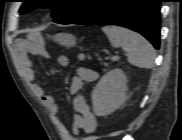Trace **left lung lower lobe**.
Segmentation results:
<instances>
[{"label": "left lung lower lobe", "instance_id": "0a47b994", "mask_svg": "<svg viewBox=\"0 0 182 140\" xmlns=\"http://www.w3.org/2000/svg\"><path fill=\"white\" fill-rule=\"evenodd\" d=\"M161 2L162 0H101L89 13L71 24L123 26L139 32L159 49Z\"/></svg>", "mask_w": 182, "mask_h": 140}]
</instances>
